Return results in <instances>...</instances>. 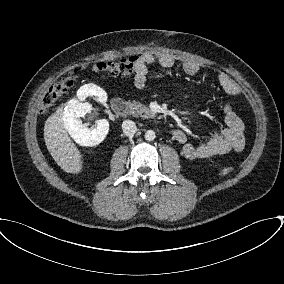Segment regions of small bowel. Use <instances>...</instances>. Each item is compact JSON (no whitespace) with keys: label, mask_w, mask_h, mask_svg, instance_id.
Masks as SVG:
<instances>
[{"label":"small bowel","mask_w":284,"mask_h":284,"mask_svg":"<svg viewBox=\"0 0 284 284\" xmlns=\"http://www.w3.org/2000/svg\"><path fill=\"white\" fill-rule=\"evenodd\" d=\"M157 63L164 68L173 67L176 59L168 53H146L138 58L135 69L134 85L141 89L145 86L148 75V68L151 64ZM183 71L190 76L197 74L200 70L198 63L185 61L182 64ZM93 71L99 72L97 65H93ZM218 83L229 95H238L239 87L227 74L218 76ZM225 126L211 133L207 141L198 144L187 143V137L181 130L173 132L174 139L183 145L182 152L189 160H208L214 157L227 154L231 151L240 152L244 149L245 138L243 135L244 124L240 116L235 112L229 103L223 106Z\"/></svg>","instance_id":"1"}]
</instances>
